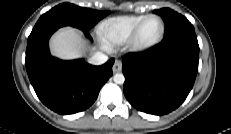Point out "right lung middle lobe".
<instances>
[{"label":"right lung middle lobe","instance_id":"obj_1","mask_svg":"<svg viewBox=\"0 0 231 134\" xmlns=\"http://www.w3.org/2000/svg\"><path fill=\"white\" fill-rule=\"evenodd\" d=\"M108 14H110L109 11H96L70 3H62L43 14L35 26L44 23L64 22L82 30H88Z\"/></svg>","mask_w":231,"mask_h":134}]
</instances>
